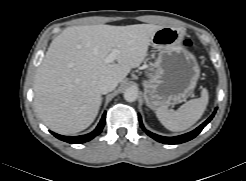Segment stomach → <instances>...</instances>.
Instances as JSON below:
<instances>
[{"instance_id": "stomach-1", "label": "stomach", "mask_w": 246, "mask_h": 181, "mask_svg": "<svg viewBox=\"0 0 246 181\" xmlns=\"http://www.w3.org/2000/svg\"><path fill=\"white\" fill-rule=\"evenodd\" d=\"M184 30L162 27L151 38L157 49V72L144 79V98L151 109L168 107L185 101L194 91L200 77L196 57L181 44Z\"/></svg>"}]
</instances>
